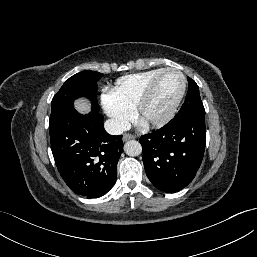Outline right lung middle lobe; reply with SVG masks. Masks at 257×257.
Here are the masks:
<instances>
[{"mask_svg": "<svg viewBox=\"0 0 257 257\" xmlns=\"http://www.w3.org/2000/svg\"><path fill=\"white\" fill-rule=\"evenodd\" d=\"M103 74L95 71H82L70 77L53 97L49 123L55 121L65 112L74 109L73 102L79 97L92 101V112H98L97 82Z\"/></svg>", "mask_w": 257, "mask_h": 257, "instance_id": "obj_1", "label": "right lung middle lobe"}]
</instances>
